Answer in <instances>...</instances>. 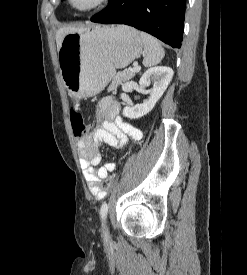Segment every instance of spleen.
<instances>
[{"instance_id":"spleen-1","label":"spleen","mask_w":247,"mask_h":275,"mask_svg":"<svg viewBox=\"0 0 247 275\" xmlns=\"http://www.w3.org/2000/svg\"><path fill=\"white\" fill-rule=\"evenodd\" d=\"M140 37L144 44L143 65L151 67L160 63L165 55V51L159 41L144 32L140 33Z\"/></svg>"}]
</instances>
